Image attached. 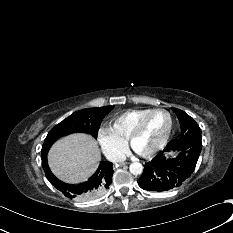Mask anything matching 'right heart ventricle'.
I'll return each mask as SVG.
<instances>
[{"label": "right heart ventricle", "mask_w": 233, "mask_h": 233, "mask_svg": "<svg viewBox=\"0 0 233 233\" xmlns=\"http://www.w3.org/2000/svg\"><path fill=\"white\" fill-rule=\"evenodd\" d=\"M149 108L130 109L116 116L110 123L109 132L122 141L127 143L128 136L138 120L145 115Z\"/></svg>", "instance_id": "e07e8e85"}]
</instances>
